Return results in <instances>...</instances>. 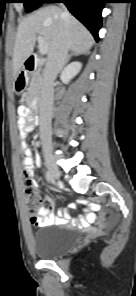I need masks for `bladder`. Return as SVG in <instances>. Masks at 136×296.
I'll use <instances>...</instances> for the list:
<instances>
[{
  "instance_id": "1",
  "label": "bladder",
  "mask_w": 136,
  "mask_h": 296,
  "mask_svg": "<svg viewBox=\"0 0 136 296\" xmlns=\"http://www.w3.org/2000/svg\"><path fill=\"white\" fill-rule=\"evenodd\" d=\"M78 242L77 232L66 226H44L34 231L31 239L34 253L48 260L62 257Z\"/></svg>"
}]
</instances>
